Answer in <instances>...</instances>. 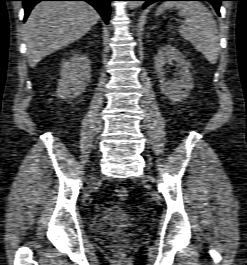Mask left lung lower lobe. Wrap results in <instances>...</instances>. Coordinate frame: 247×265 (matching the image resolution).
<instances>
[{"label":"left lung lower lobe","instance_id":"0a47b994","mask_svg":"<svg viewBox=\"0 0 247 265\" xmlns=\"http://www.w3.org/2000/svg\"><path fill=\"white\" fill-rule=\"evenodd\" d=\"M140 1H145V4L143 5V9H145L147 6L151 5L152 3H155L156 1H173V0H140ZM197 1H208L210 2L218 15H220L219 13V8H220V3L221 1H225V0H197Z\"/></svg>","mask_w":247,"mask_h":265}]
</instances>
